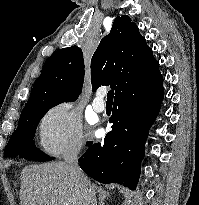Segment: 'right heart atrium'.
Instances as JSON below:
<instances>
[{
	"instance_id": "1",
	"label": "right heart atrium",
	"mask_w": 199,
	"mask_h": 205,
	"mask_svg": "<svg viewBox=\"0 0 199 205\" xmlns=\"http://www.w3.org/2000/svg\"><path fill=\"white\" fill-rule=\"evenodd\" d=\"M42 148L52 156L77 154L84 145V130L80 115L70 102L51 106L39 125Z\"/></svg>"
}]
</instances>
